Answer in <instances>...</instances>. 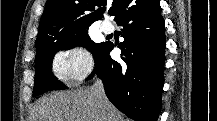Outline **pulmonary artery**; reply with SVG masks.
Listing matches in <instances>:
<instances>
[{"instance_id":"e3ab8cb5","label":"pulmonary artery","mask_w":217,"mask_h":121,"mask_svg":"<svg viewBox=\"0 0 217 121\" xmlns=\"http://www.w3.org/2000/svg\"><path fill=\"white\" fill-rule=\"evenodd\" d=\"M100 27H101V30L106 34L112 33L114 30L113 24L109 21H104L103 23H101Z\"/></svg>"}]
</instances>
